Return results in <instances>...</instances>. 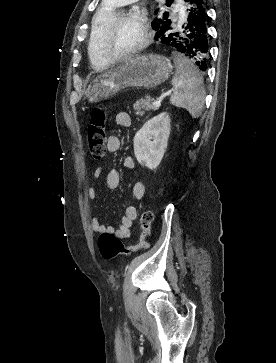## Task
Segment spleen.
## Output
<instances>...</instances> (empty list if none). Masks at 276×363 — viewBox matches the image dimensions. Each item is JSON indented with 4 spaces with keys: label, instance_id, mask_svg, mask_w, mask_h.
Wrapping results in <instances>:
<instances>
[{
    "label": "spleen",
    "instance_id": "3e777b00",
    "mask_svg": "<svg viewBox=\"0 0 276 363\" xmlns=\"http://www.w3.org/2000/svg\"><path fill=\"white\" fill-rule=\"evenodd\" d=\"M173 60L176 72L172 79L173 94L170 101L174 106L186 109L192 118H198L203 111L206 94L203 78L185 56L174 53Z\"/></svg>",
    "mask_w": 276,
    "mask_h": 363
}]
</instances>
